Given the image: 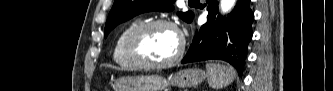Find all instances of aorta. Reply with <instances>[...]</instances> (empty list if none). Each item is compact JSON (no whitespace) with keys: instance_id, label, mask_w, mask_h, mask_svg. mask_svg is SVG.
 Returning a JSON list of instances; mask_svg holds the SVG:
<instances>
[{"instance_id":"762f6f07","label":"aorta","mask_w":333,"mask_h":91,"mask_svg":"<svg viewBox=\"0 0 333 91\" xmlns=\"http://www.w3.org/2000/svg\"><path fill=\"white\" fill-rule=\"evenodd\" d=\"M236 4V0H221V10L223 13L229 12L234 5Z\"/></svg>"}]
</instances>
